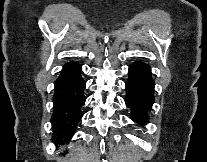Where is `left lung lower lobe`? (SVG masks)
<instances>
[{"label": "left lung lower lobe", "mask_w": 207, "mask_h": 162, "mask_svg": "<svg viewBox=\"0 0 207 162\" xmlns=\"http://www.w3.org/2000/svg\"><path fill=\"white\" fill-rule=\"evenodd\" d=\"M129 79L125 84V102L132 112V120L146 124L148 112L154 102V81L151 68L142 62H135L129 67Z\"/></svg>", "instance_id": "left-lung-lower-lobe-1"}]
</instances>
